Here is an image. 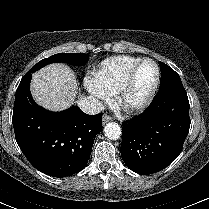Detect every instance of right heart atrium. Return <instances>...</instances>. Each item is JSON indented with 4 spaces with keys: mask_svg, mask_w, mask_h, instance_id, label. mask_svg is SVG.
Returning a JSON list of instances; mask_svg holds the SVG:
<instances>
[{
    "mask_svg": "<svg viewBox=\"0 0 209 209\" xmlns=\"http://www.w3.org/2000/svg\"><path fill=\"white\" fill-rule=\"evenodd\" d=\"M87 91L98 101L107 102L110 99V95L104 91L94 79L88 78L84 82Z\"/></svg>",
    "mask_w": 209,
    "mask_h": 209,
    "instance_id": "obj_1",
    "label": "right heart atrium"
}]
</instances>
